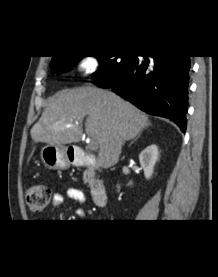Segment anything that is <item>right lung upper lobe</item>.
<instances>
[{
    "label": "right lung upper lobe",
    "mask_w": 218,
    "mask_h": 277,
    "mask_svg": "<svg viewBox=\"0 0 218 277\" xmlns=\"http://www.w3.org/2000/svg\"><path fill=\"white\" fill-rule=\"evenodd\" d=\"M56 57H61V56H53V59L56 58Z\"/></svg>",
    "instance_id": "right-lung-upper-lobe-1"
}]
</instances>
